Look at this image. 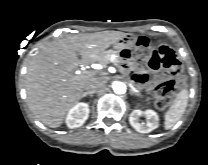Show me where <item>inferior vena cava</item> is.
<instances>
[{"label": "inferior vena cava", "instance_id": "inferior-vena-cava-1", "mask_svg": "<svg viewBox=\"0 0 208 165\" xmlns=\"http://www.w3.org/2000/svg\"><path fill=\"white\" fill-rule=\"evenodd\" d=\"M103 86H104V81L96 78L88 85L87 92L93 94Z\"/></svg>", "mask_w": 208, "mask_h": 165}]
</instances>
